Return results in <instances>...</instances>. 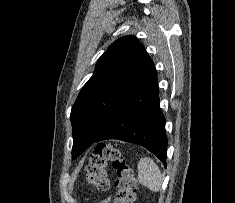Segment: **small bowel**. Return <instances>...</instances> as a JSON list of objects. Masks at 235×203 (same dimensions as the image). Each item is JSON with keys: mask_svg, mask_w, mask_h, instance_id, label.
Masks as SVG:
<instances>
[{"mask_svg": "<svg viewBox=\"0 0 235 203\" xmlns=\"http://www.w3.org/2000/svg\"><path fill=\"white\" fill-rule=\"evenodd\" d=\"M101 203H109V200H104Z\"/></svg>", "mask_w": 235, "mask_h": 203, "instance_id": "c3829d8e", "label": "small bowel"}]
</instances>
